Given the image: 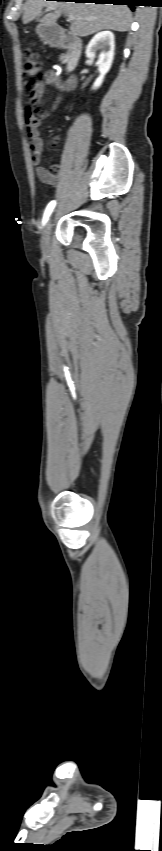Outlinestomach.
I'll list each match as a JSON object with an SVG mask.
<instances>
[{
	"instance_id": "stomach-1",
	"label": "stomach",
	"mask_w": 162,
	"mask_h": 851,
	"mask_svg": "<svg viewBox=\"0 0 162 851\" xmlns=\"http://www.w3.org/2000/svg\"><path fill=\"white\" fill-rule=\"evenodd\" d=\"M36 32L47 42L59 39V28L56 25L39 24L36 28Z\"/></svg>"
}]
</instances>
